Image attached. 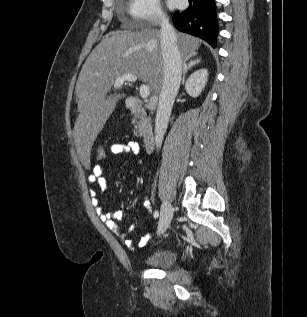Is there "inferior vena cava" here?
<instances>
[{
	"label": "inferior vena cava",
	"instance_id": "inferior-vena-cava-1",
	"mask_svg": "<svg viewBox=\"0 0 307 317\" xmlns=\"http://www.w3.org/2000/svg\"><path fill=\"white\" fill-rule=\"evenodd\" d=\"M160 46L163 58V85L159 94V103L155 117V143L159 149L166 132L171 110L182 75V58L177 47L174 28L166 17L160 19Z\"/></svg>",
	"mask_w": 307,
	"mask_h": 317
}]
</instances>
